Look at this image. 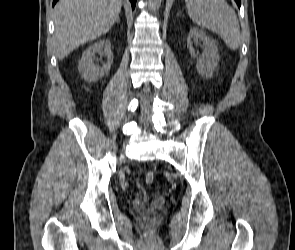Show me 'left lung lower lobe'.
Wrapping results in <instances>:
<instances>
[{
    "label": "left lung lower lobe",
    "mask_w": 295,
    "mask_h": 250,
    "mask_svg": "<svg viewBox=\"0 0 295 250\" xmlns=\"http://www.w3.org/2000/svg\"><path fill=\"white\" fill-rule=\"evenodd\" d=\"M235 2H236L237 5L240 7V5H241V0H235Z\"/></svg>",
    "instance_id": "obj_1"
}]
</instances>
